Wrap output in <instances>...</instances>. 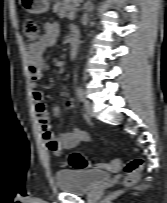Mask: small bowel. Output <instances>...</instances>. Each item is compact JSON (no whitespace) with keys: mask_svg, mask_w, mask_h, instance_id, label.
<instances>
[{"mask_svg":"<svg viewBox=\"0 0 167 203\" xmlns=\"http://www.w3.org/2000/svg\"><path fill=\"white\" fill-rule=\"evenodd\" d=\"M59 32L60 29L58 24L47 23L44 27V34L33 46L28 48L29 75L34 85L47 70V65L41 58V53L45 48L52 47L57 43ZM43 96L44 94L40 90H35L33 92V99L35 102V114L47 149L55 157H59L64 150L73 148L80 142L86 141L88 139V135L84 131H81L77 128H73L70 131L61 133L55 137L50 129L48 107L43 102ZM73 107L74 101L70 100L65 104L64 109L68 111ZM61 111L62 109L58 103H54L52 105L51 112L54 116H59L61 114ZM104 164L106 166L103 168L106 169L115 170L120 167V163L118 161Z\"/></svg>","mask_w":167,"mask_h":203,"instance_id":"obj_1","label":"small bowel"}]
</instances>
